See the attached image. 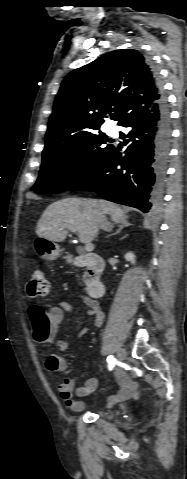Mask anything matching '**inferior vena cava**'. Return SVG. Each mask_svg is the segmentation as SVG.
I'll list each match as a JSON object with an SVG mask.
<instances>
[{"mask_svg": "<svg viewBox=\"0 0 187 479\" xmlns=\"http://www.w3.org/2000/svg\"><path fill=\"white\" fill-rule=\"evenodd\" d=\"M94 213L98 230L106 229L109 226V222L107 221L104 213L98 207H95Z\"/></svg>", "mask_w": 187, "mask_h": 479, "instance_id": "602c4592", "label": "inferior vena cava"}]
</instances>
